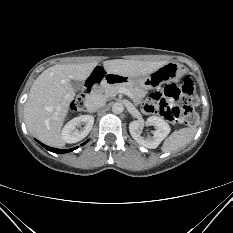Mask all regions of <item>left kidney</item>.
I'll use <instances>...</instances> for the list:
<instances>
[{
	"label": "left kidney",
	"instance_id": "obj_1",
	"mask_svg": "<svg viewBox=\"0 0 233 233\" xmlns=\"http://www.w3.org/2000/svg\"><path fill=\"white\" fill-rule=\"evenodd\" d=\"M146 123L148 125L154 126L155 130L153 131V137L143 138L140 135V128L142 126V122L137 120L132 121L129 124L130 134L132 138L140 145L149 149H155L162 142V140L170 133V126L162 118L156 116L149 117Z\"/></svg>",
	"mask_w": 233,
	"mask_h": 233
}]
</instances>
